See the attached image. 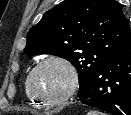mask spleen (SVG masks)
I'll return each mask as SVG.
<instances>
[{
	"label": "spleen",
	"mask_w": 131,
	"mask_h": 115,
	"mask_svg": "<svg viewBox=\"0 0 131 115\" xmlns=\"http://www.w3.org/2000/svg\"><path fill=\"white\" fill-rule=\"evenodd\" d=\"M87 115H103V114L98 111H91V112H88Z\"/></svg>",
	"instance_id": "3e777b00"
}]
</instances>
